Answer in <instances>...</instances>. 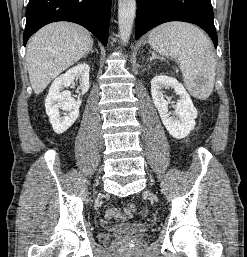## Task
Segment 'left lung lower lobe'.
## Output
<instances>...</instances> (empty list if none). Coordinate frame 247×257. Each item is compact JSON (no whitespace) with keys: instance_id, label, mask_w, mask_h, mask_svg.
Instances as JSON below:
<instances>
[{"instance_id":"1","label":"left lung lower lobe","mask_w":247,"mask_h":257,"mask_svg":"<svg viewBox=\"0 0 247 257\" xmlns=\"http://www.w3.org/2000/svg\"><path fill=\"white\" fill-rule=\"evenodd\" d=\"M210 0H137L135 39L165 22L184 21L198 25L217 47V33Z\"/></svg>"}]
</instances>
